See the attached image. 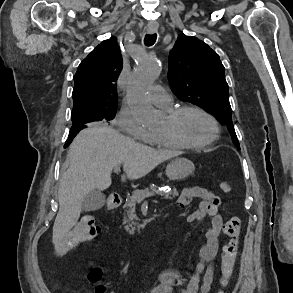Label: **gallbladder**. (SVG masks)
<instances>
[{
    "instance_id": "1",
    "label": "gallbladder",
    "mask_w": 293,
    "mask_h": 293,
    "mask_svg": "<svg viewBox=\"0 0 293 293\" xmlns=\"http://www.w3.org/2000/svg\"><path fill=\"white\" fill-rule=\"evenodd\" d=\"M105 201L106 197L103 193L91 191L82 200V210L85 212L99 210L104 206Z\"/></svg>"
}]
</instances>
